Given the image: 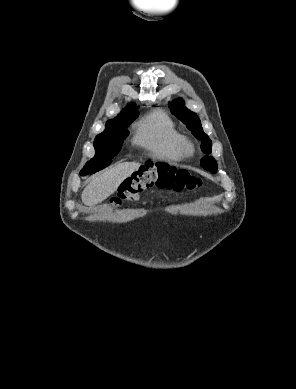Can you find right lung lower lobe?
Masks as SVG:
<instances>
[{
    "mask_svg": "<svg viewBox=\"0 0 296 389\" xmlns=\"http://www.w3.org/2000/svg\"><path fill=\"white\" fill-rule=\"evenodd\" d=\"M97 170L96 169H86V168H83L80 172V175L81 176H84V175H87V174H91V173H95Z\"/></svg>",
    "mask_w": 296,
    "mask_h": 389,
    "instance_id": "obj_1",
    "label": "right lung lower lobe"
}]
</instances>
